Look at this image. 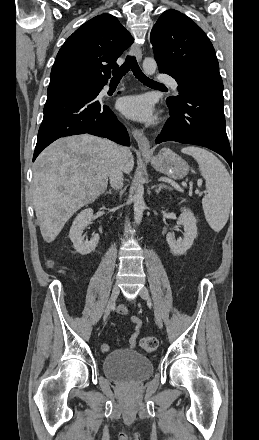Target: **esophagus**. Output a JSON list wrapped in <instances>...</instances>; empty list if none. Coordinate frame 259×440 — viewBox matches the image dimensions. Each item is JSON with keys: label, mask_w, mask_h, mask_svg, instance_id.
<instances>
[{"label": "esophagus", "mask_w": 259, "mask_h": 440, "mask_svg": "<svg viewBox=\"0 0 259 440\" xmlns=\"http://www.w3.org/2000/svg\"><path fill=\"white\" fill-rule=\"evenodd\" d=\"M130 53L132 56H135L137 61L140 62L142 59V48L139 44L134 43L131 46ZM132 134L135 137L138 147L142 154H150L151 148H150V142L148 138L144 135V133L140 130H137L135 128H132Z\"/></svg>", "instance_id": "obj_1"}]
</instances>
